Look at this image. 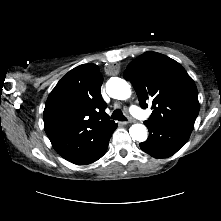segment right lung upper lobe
I'll return each mask as SVG.
<instances>
[{"label":"right lung upper lobe","instance_id":"cb5924a9","mask_svg":"<svg viewBox=\"0 0 221 221\" xmlns=\"http://www.w3.org/2000/svg\"><path fill=\"white\" fill-rule=\"evenodd\" d=\"M102 82L97 65H80L58 82L46 101L45 131L54 149L70 162L117 125L105 113Z\"/></svg>","mask_w":221,"mask_h":221}]
</instances>
